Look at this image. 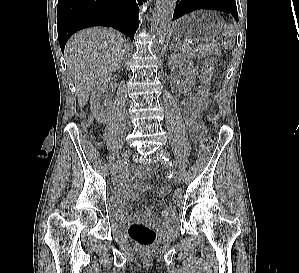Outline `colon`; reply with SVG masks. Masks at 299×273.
<instances>
[{"instance_id":"colon-1","label":"colon","mask_w":299,"mask_h":273,"mask_svg":"<svg viewBox=\"0 0 299 273\" xmlns=\"http://www.w3.org/2000/svg\"><path fill=\"white\" fill-rule=\"evenodd\" d=\"M198 53L201 56H213L217 53V47L214 44L205 43L198 46ZM216 61L214 58H209L203 65L201 73V86L196 94L194 112L197 116H201L202 112L208 107L209 103V83L214 73ZM213 145V138L205 136L200 141V155L208 154ZM183 199V192L176 190L173 194V201L179 204ZM128 234L130 238L140 246H151L157 238L156 231L141 222H134L128 227Z\"/></svg>"}]
</instances>
